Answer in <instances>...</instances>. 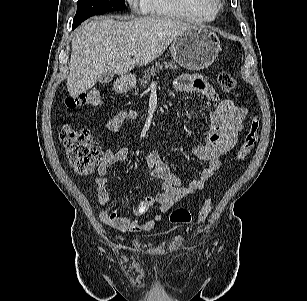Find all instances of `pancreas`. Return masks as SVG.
<instances>
[{"label":"pancreas","mask_w":307,"mask_h":301,"mask_svg":"<svg viewBox=\"0 0 307 301\" xmlns=\"http://www.w3.org/2000/svg\"><path fill=\"white\" fill-rule=\"evenodd\" d=\"M177 69V66L173 63V62H155L154 65H152L151 67H149L146 71H144V75L142 77V79L139 80L141 87H146L148 85V82L151 80L152 76H155L157 72H159V70L161 69Z\"/></svg>","instance_id":"1"}]
</instances>
